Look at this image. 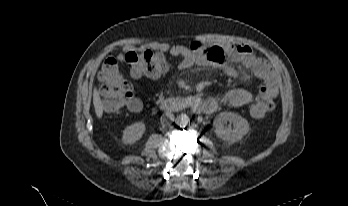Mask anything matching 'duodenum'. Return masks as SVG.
I'll return each mask as SVG.
<instances>
[{
	"label": "duodenum",
	"mask_w": 348,
	"mask_h": 206,
	"mask_svg": "<svg viewBox=\"0 0 348 206\" xmlns=\"http://www.w3.org/2000/svg\"><path fill=\"white\" fill-rule=\"evenodd\" d=\"M214 107V101L198 95H190L183 99L168 98L161 103V108L165 112H173L175 110L190 109L194 113L203 115L210 112Z\"/></svg>",
	"instance_id": "1"
}]
</instances>
